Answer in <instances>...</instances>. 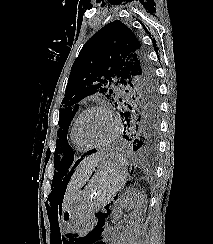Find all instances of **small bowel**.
<instances>
[{"mask_svg":"<svg viewBox=\"0 0 213 244\" xmlns=\"http://www.w3.org/2000/svg\"><path fill=\"white\" fill-rule=\"evenodd\" d=\"M98 244H105L104 242H98Z\"/></svg>","mask_w":213,"mask_h":244,"instance_id":"obj_1","label":"small bowel"}]
</instances>
